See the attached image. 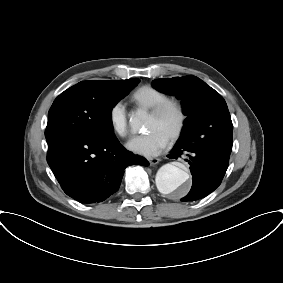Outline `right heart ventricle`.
Here are the masks:
<instances>
[{
	"label": "right heart ventricle",
	"mask_w": 283,
	"mask_h": 283,
	"mask_svg": "<svg viewBox=\"0 0 283 283\" xmlns=\"http://www.w3.org/2000/svg\"><path fill=\"white\" fill-rule=\"evenodd\" d=\"M167 98H169V95L166 92L151 85H143L131 95L134 104L139 109L146 110H150Z\"/></svg>",
	"instance_id": "right-heart-ventricle-1"
}]
</instances>
